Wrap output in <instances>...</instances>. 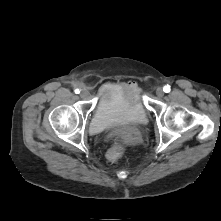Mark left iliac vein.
Masks as SVG:
<instances>
[{"instance_id": "4c4485c4", "label": "left iliac vein", "mask_w": 221, "mask_h": 221, "mask_svg": "<svg viewBox=\"0 0 221 221\" xmlns=\"http://www.w3.org/2000/svg\"><path fill=\"white\" fill-rule=\"evenodd\" d=\"M156 95L158 96V97H162L163 95H164V91H163V89L162 88H157V90H156Z\"/></svg>"}]
</instances>
